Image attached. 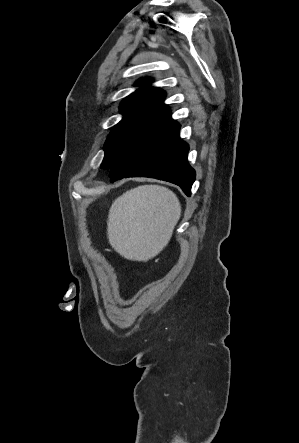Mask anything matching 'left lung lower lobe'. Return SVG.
Listing matches in <instances>:
<instances>
[{
  "label": "left lung lower lobe",
  "instance_id": "0a47b994",
  "mask_svg": "<svg viewBox=\"0 0 299 443\" xmlns=\"http://www.w3.org/2000/svg\"><path fill=\"white\" fill-rule=\"evenodd\" d=\"M168 111L110 169L111 182L124 177H151L174 183L190 196L195 171L187 161L188 144Z\"/></svg>",
  "mask_w": 299,
  "mask_h": 443
}]
</instances>
